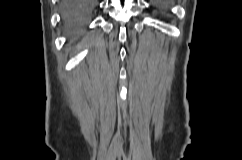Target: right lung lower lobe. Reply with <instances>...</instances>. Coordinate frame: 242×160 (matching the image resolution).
<instances>
[{"label":"right lung lower lobe","instance_id":"obj_1","mask_svg":"<svg viewBox=\"0 0 242 160\" xmlns=\"http://www.w3.org/2000/svg\"><path fill=\"white\" fill-rule=\"evenodd\" d=\"M98 0H62L63 19L71 30L82 27L92 16Z\"/></svg>","mask_w":242,"mask_h":160}]
</instances>
